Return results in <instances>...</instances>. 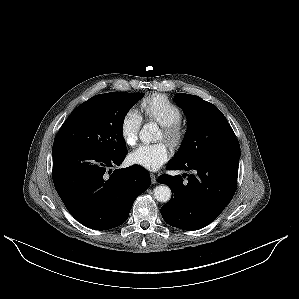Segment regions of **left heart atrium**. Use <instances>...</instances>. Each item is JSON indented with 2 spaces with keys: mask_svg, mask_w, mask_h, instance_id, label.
<instances>
[{
  "mask_svg": "<svg viewBox=\"0 0 299 299\" xmlns=\"http://www.w3.org/2000/svg\"><path fill=\"white\" fill-rule=\"evenodd\" d=\"M170 150L165 142L141 144L134 149L129 159L133 164L148 170H157L169 158Z\"/></svg>",
  "mask_w": 299,
  "mask_h": 299,
  "instance_id": "left-heart-atrium-1",
  "label": "left heart atrium"
}]
</instances>
